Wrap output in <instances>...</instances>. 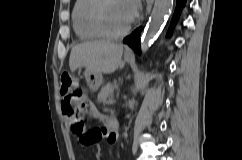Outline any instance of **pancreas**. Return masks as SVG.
Returning a JSON list of instances; mask_svg holds the SVG:
<instances>
[{
	"mask_svg": "<svg viewBox=\"0 0 242 160\" xmlns=\"http://www.w3.org/2000/svg\"><path fill=\"white\" fill-rule=\"evenodd\" d=\"M118 88L117 82L114 81L113 83H108L104 87H102L101 91L99 92L97 99L99 103H107L108 97H110L114 90Z\"/></svg>",
	"mask_w": 242,
	"mask_h": 160,
	"instance_id": "pancreas-1",
	"label": "pancreas"
}]
</instances>
